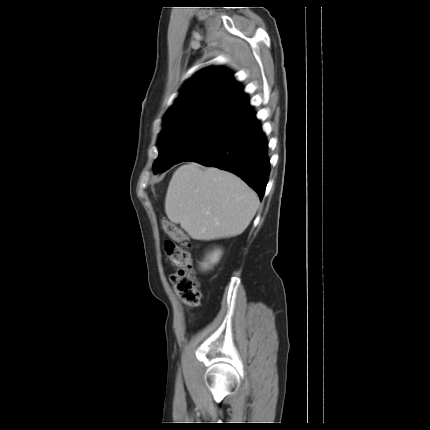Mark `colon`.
I'll return each mask as SVG.
<instances>
[{
	"instance_id": "5ec220e1",
	"label": "colon",
	"mask_w": 430,
	"mask_h": 430,
	"mask_svg": "<svg viewBox=\"0 0 430 430\" xmlns=\"http://www.w3.org/2000/svg\"><path fill=\"white\" fill-rule=\"evenodd\" d=\"M162 228L169 239L165 242V253L169 261L177 267L170 279L181 301L189 307L198 306L201 292L193 271L192 257L188 250L190 239L186 233L170 221L163 220Z\"/></svg>"
}]
</instances>
